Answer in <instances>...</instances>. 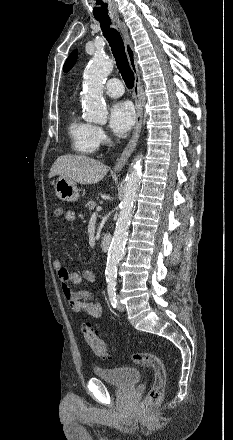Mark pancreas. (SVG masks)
<instances>
[{
    "label": "pancreas",
    "instance_id": "pancreas-1",
    "mask_svg": "<svg viewBox=\"0 0 233 440\" xmlns=\"http://www.w3.org/2000/svg\"><path fill=\"white\" fill-rule=\"evenodd\" d=\"M96 206H97V204H96V202H94V201H89V202L86 204V207H87L89 210H93Z\"/></svg>",
    "mask_w": 233,
    "mask_h": 440
}]
</instances>
